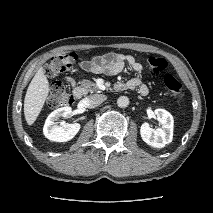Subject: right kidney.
<instances>
[{
    "instance_id": "ca27d5eb",
    "label": "right kidney",
    "mask_w": 213,
    "mask_h": 213,
    "mask_svg": "<svg viewBox=\"0 0 213 213\" xmlns=\"http://www.w3.org/2000/svg\"><path fill=\"white\" fill-rule=\"evenodd\" d=\"M71 113L72 109L69 106L54 110L45 121L43 128L45 137L55 142H66L74 138L80 130L81 126L79 123L66 126H58L55 123L60 117H68Z\"/></svg>"
}]
</instances>
